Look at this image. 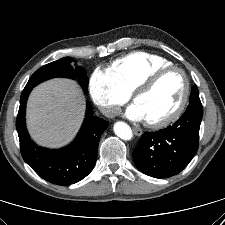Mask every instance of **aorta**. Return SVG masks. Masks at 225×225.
<instances>
[{"mask_svg":"<svg viewBox=\"0 0 225 225\" xmlns=\"http://www.w3.org/2000/svg\"><path fill=\"white\" fill-rule=\"evenodd\" d=\"M114 132L122 140H131L133 137L130 126L122 121H118L114 124Z\"/></svg>","mask_w":225,"mask_h":225,"instance_id":"aorta-1","label":"aorta"}]
</instances>
